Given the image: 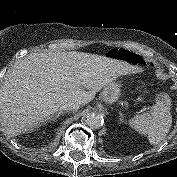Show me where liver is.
Masks as SVG:
<instances>
[{"instance_id":"6515ba94","label":"liver","mask_w":177,"mask_h":177,"mask_svg":"<svg viewBox=\"0 0 177 177\" xmlns=\"http://www.w3.org/2000/svg\"><path fill=\"white\" fill-rule=\"evenodd\" d=\"M141 71L125 61L85 52L29 54L7 71L0 88L3 130L11 137L31 132L63 103L85 105L118 77Z\"/></svg>"}]
</instances>
